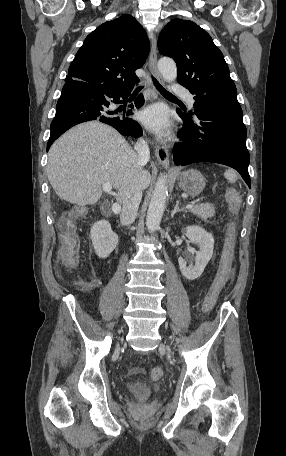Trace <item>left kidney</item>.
Returning <instances> with one entry per match:
<instances>
[{
  "label": "left kidney",
  "mask_w": 286,
  "mask_h": 456,
  "mask_svg": "<svg viewBox=\"0 0 286 456\" xmlns=\"http://www.w3.org/2000/svg\"><path fill=\"white\" fill-rule=\"evenodd\" d=\"M186 236L191 243L198 244L199 251L196 252L194 259L195 265L187 266L185 259L179 257V268L186 279L195 280L201 276L213 255L214 237L211 233L197 225L187 226Z\"/></svg>",
  "instance_id": "5707ae66"
}]
</instances>
